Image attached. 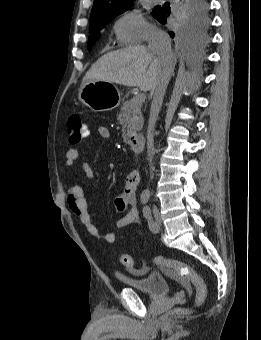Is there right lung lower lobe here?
Instances as JSON below:
<instances>
[{
	"mask_svg": "<svg viewBox=\"0 0 261 340\" xmlns=\"http://www.w3.org/2000/svg\"><path fill=\"white\" fill-rule=\"evenodd\" d=\"M189 0H178V9L185 5ZM204 5L208 9V3L207 0H204ZM170 9L168 8H159L157 11V14L154 16L160 23L166 24L167 22V16L170 15ZM170 36L174 37V32H170Z\"/></svg>",
	"mask_w": 261,
	"mask_h": 340,
	"instance_id": "obj_1",
	"label": "right lung lower lobe"
}]
</instances>
